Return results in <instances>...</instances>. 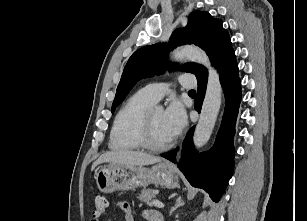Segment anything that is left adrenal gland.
Segmentation results:
<instances>
[{
  "mask_svg": "<svg viewBox=\"0 0 307 221\" xmlns=\"http://www.w3.org/2000/svg\"><path fill=\"white\" fill-rule=\"evenodd\" d=\"M184 204H185V202L182 201V197L179 196V197L176 199V203H175V205L171 208L169 214L171 215L177 208L183 206Z\"/></svg>",
  "mask_w": 307,
  "mask_h": 221,
  "instance_id": "1",
  "label": "left adrenal gland"
}]
</instances>
